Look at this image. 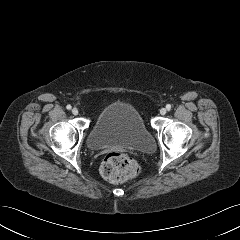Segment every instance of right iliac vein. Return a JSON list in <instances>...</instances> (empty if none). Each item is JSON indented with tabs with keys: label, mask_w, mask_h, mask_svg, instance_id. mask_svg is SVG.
I'll return each instance as SVG.
<instances>
[{
	"label": "right iliac vein",
	"mask_w": 240,
	"mask_h": 240,
	"mask_svg": "<svg viewBox=\"0 0 240 240\" xmlns=\"http://www.w3.org/2000/svg\"><path fill=\"white\" fill-rule=\"evenodd\" d=\"M78 113H79V111H78L77 108H73V109H72V114H73V115H78Z\"/></svg>",
	"instance_id": "1"
}]
</instances>
